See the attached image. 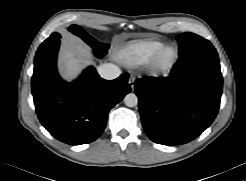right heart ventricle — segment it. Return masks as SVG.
<instances>
[{
    "label": "right heart ventricle",
    "instance_id": "e07e8e85",
    "mask_svg": "<svg viewBox=\"0 0 246 181\" xmlns=\"http://www.w3.org/2000/svg\"><path fill=\"white\" fill-rule=\"evenodd\" d=\"M163 45L156 38L138 40L122 47L117 57L122 63L136 67L146 63Z\"/></svg>",
    "mask_w": 246,
    "mask_h": 181
}]
</instances>
